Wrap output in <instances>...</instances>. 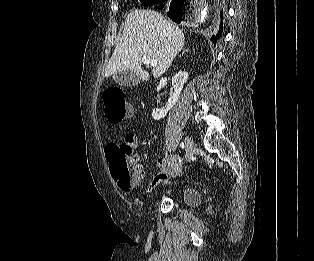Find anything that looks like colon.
<instances>
[{"mask_svg":"<svg viewBox=\"0 0 314 261\" xmlns=\"http://www.w3.org/2000/svg\"><path fill=\"white\" fill-rule=\"evenodd\" d=\"M103 102L105 116L111 123H120L132 114V106L127 101L122 88L106 89L103 93ZM133 146L132 140L125 138L120 143H111L105 147L111 175L118 186L124 190L131 189L140 180L131 158Z\"/></svg>","mask_w":314,"mask_h":261,"instance_id":"colon-1","label":"colon"}]
</instances>
